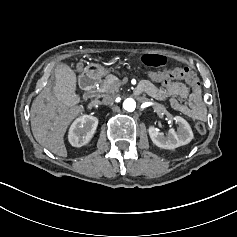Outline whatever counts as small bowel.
I'll use <instances>...</instances> for the list:
<instances>
[{"mask_svg":"<svg viewBox=\"0 0 237 237\" xmlns=\"http://www.w3.org/2000/svg\"><path fill=\"white\" fill-rule=\"evenodd\" d=\"M173 71L150 72L153 81L162 83L164 87H158L150 81H142L138 86L139 92H144L157 99L169 98L171 106L188 117L196 120H206L208 110L203 99L202 90L198 79L193 76L181 82H165ZM180 98L185 99L182 102Z\"/></svg>","mask_w":237,"mask_h":237,"instance_id":"small-bowel-1","label":"small bowel"}]
</instances>
